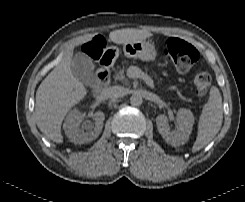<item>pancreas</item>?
<instances>
[{"label":"pancreas","instance_id":"cf45deb5","mask_svg":"<svg viewBox=\"0 0 245 202\" xmlns=\"http://www.w3.org/2000/svg\"><path fill=\"white\" fill-rule=\"evenodd\" d=\"M124 70H125V68L123 67L122 69H119V70L116 72V74H115V76H114V79H115L116 81H122V82L126 81L125 74H124Z\"/></svg>","mask_w":245,"mask_h":202}]
</instances>
